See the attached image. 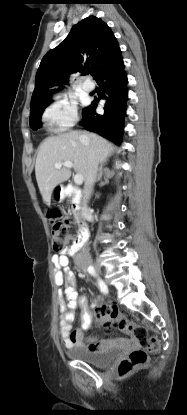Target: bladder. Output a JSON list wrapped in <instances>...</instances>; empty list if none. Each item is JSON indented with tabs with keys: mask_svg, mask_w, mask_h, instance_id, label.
Segmentation results:
<instances>
[{
	"mask_svg": "<svg viewBox=\"0 0 187 415\" xmlns=\"http://www.w3.org/2000/svg\"><path fill=\"white\" fill-rule=\"evenodd\" d=\"M121 347H114L104 351H89L85 348L72 347L66 353L69 357L86 362L96 367H106L121 353Z\"/></svg>",
	"mask_w": 187,
	"mask_h": 415,
	"instance_id": "31cf9c89",
	"label": "bladder"
}]
</instances>
